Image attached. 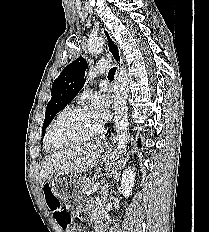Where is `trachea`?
<instances>
[{
	"instance_id": "trachea-1",
	"label": "trachea",
	"mask_w": 209,
	"mask_h": 232,
	"mask_svg": "<svg viewBox=\"0 0 209 232\" xmlns=\"http://www.w3.org/2000/svg\"><path fill=\"white\" fill-rule=\"evenodd\" d=\"M115 72H116V67H113L108 73V78H114Z\"/></svg>"
}]
</instances>
